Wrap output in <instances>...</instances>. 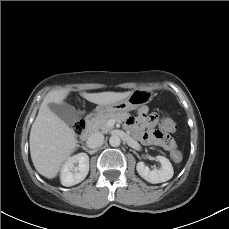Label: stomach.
Listing matches in <instances>:
<instances>
[{"mask_svg":"<svg viewBox=\"0 0 229 229\" xmlns=\"http://www.w3.org/2000/svg\"><path fill=\"white\" fill-rule=\"evenodd\" d=\"M152 97L153 92L151 90H134L129 97L121 101L111 104L98 105L95 108V113L99 116L126 113L137 109L141 105L149 103L152 100Z\"/></svg>","mask_w":229,"mask_h":229,"instance_id":"1","label":"stomach"}]
</instances>
